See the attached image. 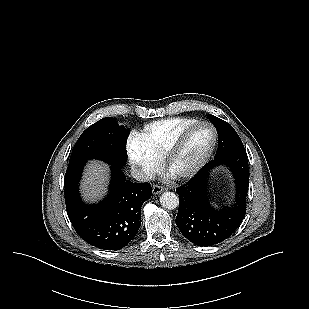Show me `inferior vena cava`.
Instances as JSON below:
<instances>
[{
    "label": "inferior vena cava",
    "instance_id": "1",
    "mask_svg": "<svg viewBox=\"0 0 309 309\" xmlns=\"http://www.w3.org/2000/svg\"><path fill=\"white\" fill-rule=\"evenodd\" d=\"M131 175L134 179L141 182H146L152 179V176L139 168H132Z\"/></svg>",
    "mask_w": 309,
    "mask_h": 309
}]
</instances>
